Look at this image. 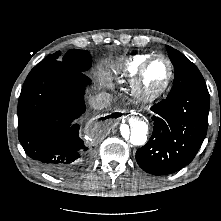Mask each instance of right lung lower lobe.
Instances as JSON below:
<instances>
[{
    "mask_svg": "<svg viewBox=\"0 0 221 221\" xmlns=\"http://www.w3.org/2000/svg\"><path fill=\"white\" fill-rule=\"evenodd\" d=\"M89 83L82 72L46 61L31 70L21 90L19 141L41 169L55 176L71 175L89 155L79 125L72 123L85 111L84 87Z\"/></svg>",
    "mask_w": 221,
    "mask_h": 221,
    "instance_id": "1",
    "label": "right lung lower lobe"
}]
</instances>
